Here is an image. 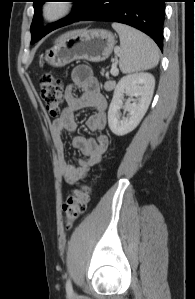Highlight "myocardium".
I'll list each match as a JSON object with an SVG mask.
<instances>
[{"label": "myocardium", "instance_id": "f54148a6", "mask_svg": "<svg viewBox=\"0 0 195 299\" xmlns=\"http://www.w3.org/2000/svg\"><path fill=\"white\" fill-rule=\"evenodd\" d=\"M73 12V3L67 0L46 1L41 6V17L48 23H57Z\"/></svg>", "mask_w": 195, "mask_h": 299}]
</instances>
